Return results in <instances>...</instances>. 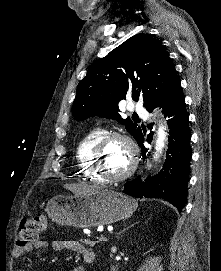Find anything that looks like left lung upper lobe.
I'll use <instances>...</instances> for the list:
<instances>
[{
    "label": "left lung upper lobe",
    "mask_w": 221,
    "mask_h": 271,
    "mask_svg": "<svg viewBox=\"0 0 221 271\" xmlns=\"http://www.w3.org/2000/svg\"><path fill=\"white\" fill-rule=\"evenodd\" d=\"M179 82L164 46L151 35L136 34L95 63L80 81L72 114L76 120L116 119L136 139L141 128L130 118H121L119 101L143 98L150 112Z\"/></svg>",
    "instance_id": "obj_1"
}]
</instances>
